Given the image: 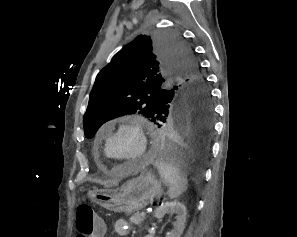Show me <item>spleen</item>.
I'll list each match as a JSON object with an SVG mask.
<instances>
[{
  "label": "spleen",
  "mask_w": 297,
  "mask_h": 237,
  "mask_svg": "<svg viewBox=\"0 0 297 237\" xmlns=\"http://www.w3.org/2000/svg\"><path fill=\"white\" fill-rule=\"evenodd\" d=\"M155 167L162 180L169 186L168 196L171 199L178 198L187 190L188 180L178 167L171 162L159 160Z\"/></svg>",
  "instance_id": "1"
}]
</instances>
